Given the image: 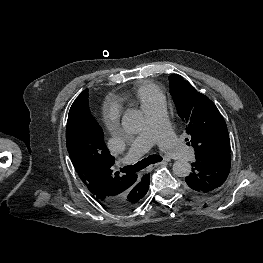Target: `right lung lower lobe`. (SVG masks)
<instances>
[{
	"mask_svg": "<svg viewBox=\"0 0 263 263\" xmlns=\"http://www.w3.org/2000/svg\"><path fill=\"white\" fill-rule=\"evenodd\" d=\"M149 179H150V176L149 175H144L143 177V180H142V183L143 185L146 187V188H149ZM106 207H108L109 209L113 210V211H123L122 208H123V202L121 201H112V202H108L106 204Z\"/></svg>",
	"mask_w": 263,
	"mask_h": 263,
	"instance_id": "1",
	"label": "right lung lower lobe"
}]
</instances>
